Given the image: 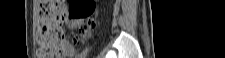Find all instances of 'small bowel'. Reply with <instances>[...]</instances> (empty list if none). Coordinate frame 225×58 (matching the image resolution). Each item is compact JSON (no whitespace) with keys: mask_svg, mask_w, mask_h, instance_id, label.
Segmentation results:
<instances>
[{"mask_svg":"<svg viewBox=\"0 0 225 58\" xmlns=\"http://www.w3.org/2000/svg\"><path fill=\"white\" fill-rule=\"evenodd\" d=\"M68 24L70 25L71 28H76L80 24V21L79 20H69ZM63 46L65 49V55H66L65 57L66 58L71 57L74 53L73 46L66 40L63 41Z\"/></svg>","mask_w":225,"mask_h":58,"instance_id":"1","label":"small bowel"}]
</instances>
